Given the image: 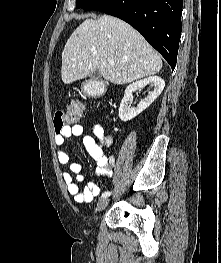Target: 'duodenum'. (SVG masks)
Masks as SVG:
<instances>
[{
    "instance_id": "duodenum-1",
    "label": "duodenum",
    "mask_w": 221,
    "mask_h": 263,
    "mask_svg": "<svg viewBox=\"0 0 221 263\" xmlns=\"http://www.w3.org/2000/svg\"><path fill=\"white\" fill-rule=\"evenodd\" d=\"M92 92L94 96H99L103 92V88L101 86H94Z\"/></svg>"
}]
</instances>
